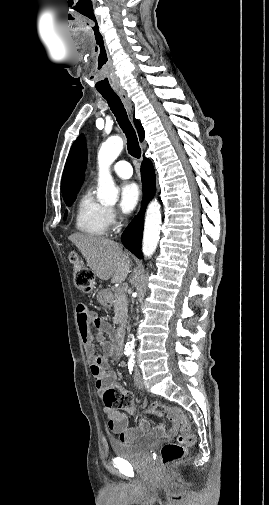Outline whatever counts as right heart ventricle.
<instances>
[{"label": "right heart ventricle", "mask_w": 269, "mask_h": 505, "mask_svg": "<svg viewBox=\"0 0 269 505\" xmlns=\"http://www.w3.org/2000/svg\"><path fill=\"white\" fill-rule=\"evenodd\" d=\"M76 228L91 236H105L110 227L107 208L95 199L91 189L79 198L75 211Z\"/></svg>", "instance_id": "1"}]
</instances>
